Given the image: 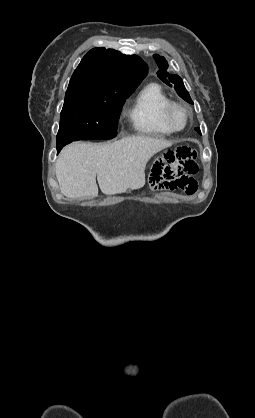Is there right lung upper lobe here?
Segmentation results:
<instances>
[{
    "label": "right lung upper lobe",
    "instance_id": "cb5924a9",
    "mask_svg": "<svg viewBox=\"0 0 255 418\" xmlns=\"http://www.w3.org/2000/svg\"><path fill=\"white\" fill-rule=\"evenodd\" d=\"M147 72V64L136 55L94 48L74 71L68 89L135 90Z\"/></svg>",
    "mask_w": 255,
    "mask_h": 418
}]
</instances>
